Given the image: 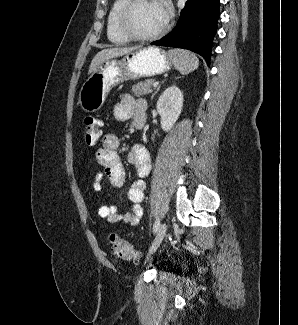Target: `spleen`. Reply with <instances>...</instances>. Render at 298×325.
<instances>
[{
    "label": "spleen",
    "instance_id": "3e777b00",
    "mask_svg": "<svg viewBox=\"0 0 298 325\" xmlns=\"http://www.w3.org/2000/svg\"><path fill=\"white\" fill-rule=\"evenodd\" d=\"M169 56L174 60V66L181 74H188L191 70H195L199 66V58L194 52L182 50V48H170Z\"/></svg>",
    "mask_w": 298,
    "mask_h": 325
}]
</instances>
